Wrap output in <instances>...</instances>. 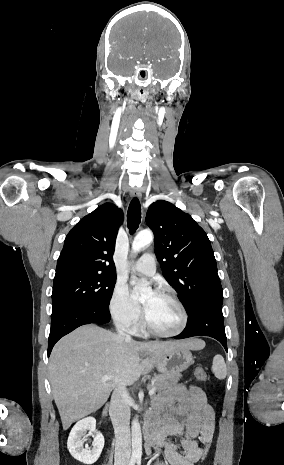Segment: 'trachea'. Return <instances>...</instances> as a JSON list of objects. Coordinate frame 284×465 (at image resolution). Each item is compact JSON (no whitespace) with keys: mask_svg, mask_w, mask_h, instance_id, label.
<instances>
[{"mask_svg":"<svg viewBox=\"0 0 284 465\" xmlns=\"http://www.w3.org/2000/svg\"><path fill=\"white\" fill-rule=\"evenodd\" d=\"M141 222V205L138 198H133L130 202L127 213V224L131 234H133Z\"/></svg>","mask_w":284,"mask_h":465,"instance_id":"trachea-1","label":"trachea"}]
</instances>
